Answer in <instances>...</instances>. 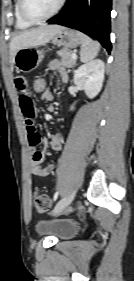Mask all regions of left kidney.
Masks as SVG:
<instances>
[{
    "mask_svg": "<svg viewBox=\"0 0 134 281\" xmlns=\"http://www.w3.org/2000/svg\"><path fill=\"white\" fill-rule=\"evenodd\" d=\"M104 70V62L100 59L85 63L75 71L74 83L83 89L89 98H94L102 89Z\"/></svg>",
    "mask_w": 134,
    "mask_h": 281,
    "instance_id": "obj_1",
    "label": "left kidney"
}]
</instances>
